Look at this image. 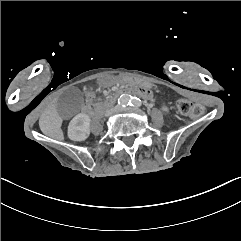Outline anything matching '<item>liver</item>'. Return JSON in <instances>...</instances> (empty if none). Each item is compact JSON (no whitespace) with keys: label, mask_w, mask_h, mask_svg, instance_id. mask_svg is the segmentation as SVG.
I'll return each mask as SVG.
<instances>
[{"label":"liver","mask_w":241,"mask_h":241,"mask_svg":"<svg viewBox=\"0 0 241 241\" xmlns=\"http://www.w3.org/2000/svg\"><path fill=\"white\" fill-rule=\"evenodd\" d=\"M63 118L58 113L56 107L51 106L46 109L39 120V126L42 133L46 136L57 140H64V133L62 130Z\"/></svg>","instance_id":"6515ba94"}]
</instances>
